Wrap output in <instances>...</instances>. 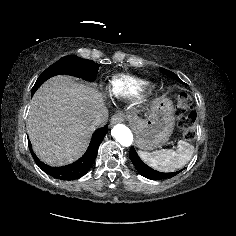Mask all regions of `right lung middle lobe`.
Wrapping results in <instances>:
<instances>
[{"instance_id": "1", "label": "right lung middle lobe", "mask_w": 236, "mask_h": 236, "mask_svg": "<svg viewBox=\"0 0 236 236\" xmlns=\"http://www.w3.org/2000/svg\"><path fill=\"white\" fill-rule=\"evenodd\" d=\"M99 66V64L92 60L82 59L74 55L62 57L39 76L32 88L31 94L33 96L36 90L47 79L60 74L73 75L92 82L96 78Z\"/></svg>"}]
</instances>
